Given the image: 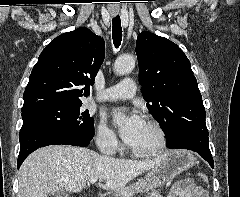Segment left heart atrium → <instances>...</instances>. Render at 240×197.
Masks as SVG:
<instances>
[{
  "label": "left heart atrium",
  "mask_w": 240,
  "mask_h": 197,
  "mask_svg": "<svg viewBox=\"0 0 240 197\" xmlns=\"http://www.w3.org/2000/svg\"><path fill=\"white\" fill-rule=\"evenodd\" d=\"M114 124L118 127L125 143L131 144L141 132L145 121L135 110L117 108L112 112Z\"/></svg>",
  "instance_id": "39dd6f15"
}]
</instances>
